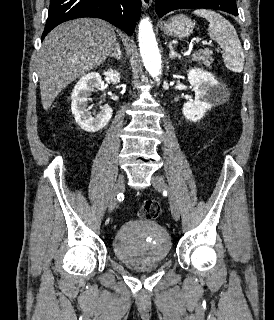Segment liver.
Returning <instances> with one entry per match:
<instances>
[{"instance_id": "1", "label": "liver", "mask_w": 274, "mask_h": 320, "mask_svg": "<svg viewBox=\"0 0 274 320\" xmlns=\"http://www.w3.org/2000/svg\"><path fill=\"white\" fill-rule=\"evenodd\" d=\"M116 34L108 22L79 18L54 28L43 40L39 86L44 110L71 82L101 66L115 50Z\"/></svg>"}]
</instances>
